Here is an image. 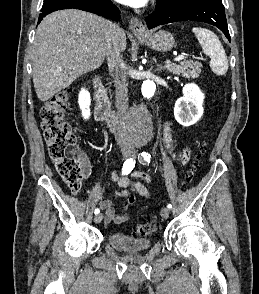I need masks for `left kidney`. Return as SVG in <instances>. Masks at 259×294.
Wrapping results in <instances>:
<instances>
[{
  "label": "left kidney",
  "instance_id": "obj_1",
  "mask_svg": "<svg viewBox=\"0 0 259 294\" xmlns=\"http://www.w3.org/2000/svg\"><path fill=\"white\" fill-rule=\"evenodd\" d=\"M204 94L194 84L183 87V97L179 98L174 107V116L179 124L184 127L195 124L203 115Z\"/></svg>",
  "mask_w": 259,
  "mask_h": 294
}]
</instances>
